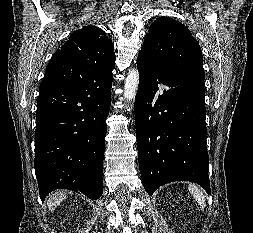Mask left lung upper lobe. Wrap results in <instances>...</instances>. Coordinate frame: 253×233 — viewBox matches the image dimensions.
Segmentation results:
<instances>
[{
  "label": "left lung upper lobe",
  "mask_w": 253,
  "mask_h": 233,
  "mask_svg": "<svg viewBox=\"0 0 253 233\" xmlns=\"http://www.w3.org/2000/svg\"><path fill=\"white\" fill-rule=\"evenodd\" d=\"M140 53L170 80L189 75L205 78L198 41L185 25L172 18L161 17L152 23Z\"/></svg>",
  "instance_id": "obj_1"
}]
</instances>
